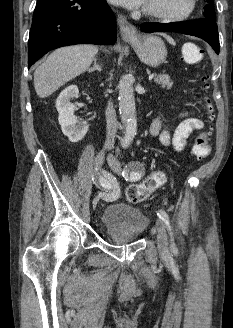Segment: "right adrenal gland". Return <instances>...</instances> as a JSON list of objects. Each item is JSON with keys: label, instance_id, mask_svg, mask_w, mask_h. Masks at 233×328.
Returning a JSON list of instances; mask_svg holds the SVG:
<instances>
[{"label": "right adrenal gland", "instance_id": "right-adrenal-gland-1", "mask_svg": "<svg viewBox=\"0 0 233 328\" xmlns=\"http://www.w3.org/2000/svg\"><path fill=\"white\" fill-rule=\"evenodd\" d=\"M95 70H97L99 72L102 71L101 67L97 64V58L94 59V66L92 68H89L87 71L90 73V72H93Z\"/></svg>", "mask_w": 233, "mask_h": 328}]
</instances>
